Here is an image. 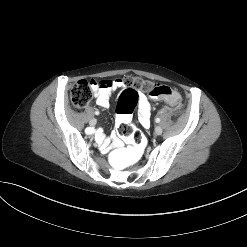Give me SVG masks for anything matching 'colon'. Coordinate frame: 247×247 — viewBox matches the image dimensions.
Returning <instances> with one entry per match:
<instances>
[{
	"label": "colon",
	"instance_id": "colon-1",
	"mask_svg": "<svg viewBox=\"0 0 247 247\" xmlns=\"http://www.w3.org/2000/svg\"><path fill=\"white\" fill-rule=\"evenodd\" d=\"M127 88L121 93L116 107L118 135L128 144L110 152L108 160L112 167L128 169L139 163L146 148L144 135L132 124V113L139 101V91H147L152 98L163 99L171 105L179 102V95L165 85L153 84L140 77L123 80ZM94 81L80 80L71 89L70 97L74 107L84 108L92 98Z\"/></svg>",
	"mask_w": 247,
	"mask_h": 247
}]
</instances>
